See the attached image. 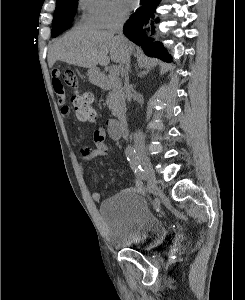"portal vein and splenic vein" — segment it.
<instances>
[{
    "instance_id": "18ae733b",
    "label": "portal vein and splenic vein",
    "mask_w": 245,
    "mask_h": 300,
    "mask_svg": "<svg viewBox=\"0 0 245 300\" xmlns=\"http://www.w3.org/2000/svg\"><path fill=\"white\" fill-rule=\"evenodd\" d=\"M110 73H112V74H118V73H119V68H118V67H113V68L110 70Z\"/></svg>"
}]
</instances>
